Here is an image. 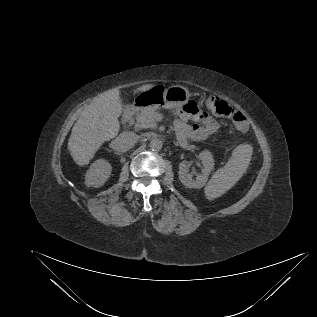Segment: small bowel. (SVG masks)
<instances>
[{
    "label": "small bowel",
    "mask_w": 317,
    "mask_h": 317,
    "mask_svg": "<svg viewBox=\"0 0 317 317\" xmlns=\"http://www.w3.org/2000/svg\"><path fill=\"white\" fill-rule=\"evenodd\" d=\"M189 114L181 112L174 121V131L181 141L194 140L201 141L211 136L218 130V124L208 115H200L198 122H190ZM248 128L239 129L246 131Z\"/></svg>",
    "instance_id": "small-bowel-1"
}]
</instances>
